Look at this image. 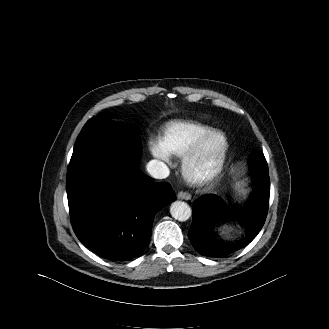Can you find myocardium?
Masks as SVG:
<instances>
[{
	"instance_id": "myocardium-1",
	"label": "myocardium",
	"mask_w": 329,
	"mask_h": 329,
	"mask_svg": "<svg viewBox=\"0 0 329 329\" xmlns=\"http://www.w3.org/2000/svg\"><path fill=\"white\" fill-rule=\"evenodd\" d=\"M215 136H220L222 139V146L220 148V153L217 163L210 171L204 174H200V175L194 174L192 172V166L194 161L201 154L207 142ZM229 147L230 145H229L228 137L221 130L214 129L206 133L202 137H200L182 156L181 171L184 178L189 183L197 186H203L215 180L221 174V172L225 167L229 153Z\"/></svg>"
}]
</instances>
